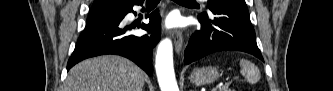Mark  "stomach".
<instances>
[{
	"instance_id": "1",
	"label": "stomach",
	"mask_w": 333,
	"mask_h": 91,
	"mask_svg": "<svg viewBox=\"0 0 333 91\" xmlns=\"http://www.w3.org/2000/svg\"><path fill=\"white\" fill-rule=\"evenodd\" d=\"M219 76L216 68L208 66L194 69L189 79L195 85H205L213 83Z\"/></svg>"
}]
</instances>
